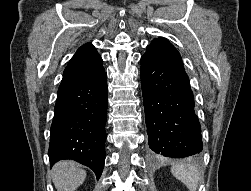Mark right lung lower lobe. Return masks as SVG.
<instances>
[{
    "label": "right lung lower lobe",
    "instance_id": "98d812e1",
    "mask_svg": "<svg viewBox=\"0 0 251 191\" xmlns=\"http://www.w3.org/2000/svg\"><path fill=\"white\" fill-rule=\"evenodd\" d=\"M107 74L58 92L50 130L51 166L72 159L90 167L97 179L105 162Z\"/></svg>",
    "mask_w": 251,
    "mask_h": 191
}]
</instances>
